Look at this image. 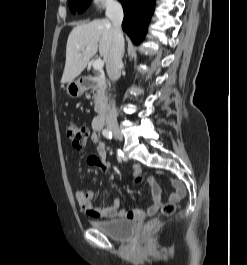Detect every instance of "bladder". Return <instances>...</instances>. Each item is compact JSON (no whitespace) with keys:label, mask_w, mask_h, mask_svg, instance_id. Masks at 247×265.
Wrapping results in <instances>:
<instances>
[{"label":"bladder","mask_w":247,"mask_h":265,"mask_svg":"<svg viewBox=\"0 0 247 265\" xmlns=\"http://www.w3.org/2000/svg\"><path fill=\"white\" fill-rule=\"evenodd\" d=\"M90 225L115 240H125L134 231V223L130 219L92 220Z\"/></svg>","instance_id":"1"}]
</instances>
